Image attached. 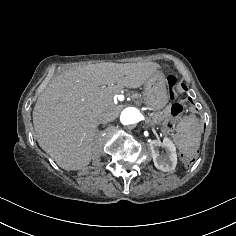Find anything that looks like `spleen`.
Wrapping results in <instances>:
<instances>
[{
    "label": "spleen",
    "mask_w": 236,
    "mask_h": 236,
    "mask_svg": "<svg viewBox=\"0 0 236 236\" xmlns=\"http://www.w3.org/2000/svg\"><path fill=\"white\" fill-rule=\"evenodd\" d=\"M175 134L171 139L180 153L185 156H193L199 145L201 139V128L192 116L183 117L174 128Z\"/></svg>",
    "instance_id": "spleen-1"
}]
</instances>
